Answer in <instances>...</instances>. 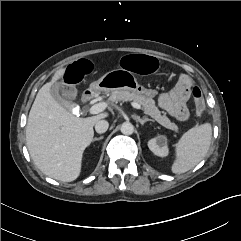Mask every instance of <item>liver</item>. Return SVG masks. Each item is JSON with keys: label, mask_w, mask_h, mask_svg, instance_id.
I'll use <instances>...</instances> for the list:
<instances>
[{"label": "liver", "mask_w": 241, "mask_h": 241, "mask_svg": "<svg viewBox=\"0 0 241 241\" xmlns=\"http://www.w3.org/2000/svg\"><path fill=\"white\" fill-rule=\"evenodd\" d=\"M64 73L65 68L57 70L52 80L38 91L28 116L26 144L42 173L71 182L81 173L83 152L93 140L94 125L108 114L79 118L63 108L52 97L50 87Z\"/></svg>", "instance_id": "obj_1"}]
</instances>
